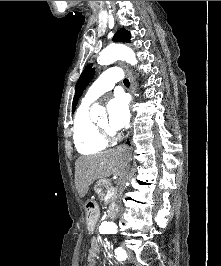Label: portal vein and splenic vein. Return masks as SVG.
Here are the masks:
<instances>
[{
    "label": "portal vein and splenic vein",
    "mask_w": 221,
    "mask_h": 266,
    "mask_svg": "<svg viewBox=\"0 0 221 266\" xmlns=\"http://www.w3.org/2000/svg\"><path fill=\"white\" fill-rule=\"evenodd\" d=\"M113 191H114V187L113 186H111L110 188H108V193L113 192Z\"/></svg>",
    "instance_id": "obj_1"
}]
</instances>
